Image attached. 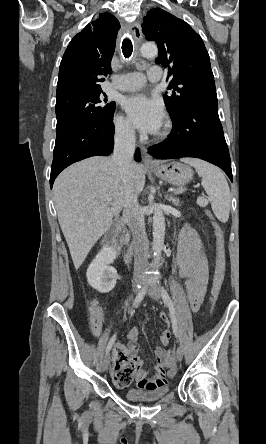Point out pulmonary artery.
Listing matches in <instances>:
<instances>
[{"mask_svg": "<svg viewBox=\"0 0 266 444\" xmlns=\"http://www.w3.org/2000/svg\"><path fill=\"white\" fill-rule=\"evenodd\" d=\"M162 69L159 66H150L147 70V78L158 81L162 78ZM145 76L138 72L122 74L111 81V85L121 91H131L141 88L145 83Z\"/></svg>", "mask_w": 266, "mask_h": 444, "instance_id": "obj_1", "label": "pulmonary artery"}]
</instances>
